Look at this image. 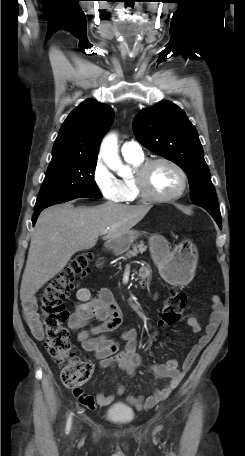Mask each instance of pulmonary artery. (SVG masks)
Returning <instances> with one entry per match:
<instances>
[{
  "label": "pulmonary artery",
  "mask_w": 245,
  "mask_h": 456,
  "mask_svg": "<svg viewBox=\"0 0 245 456\" xmlns=\"http://www.w3.org/2000/svg\"><path fill=\"white\" fill-rule=\"evenodd\" d=\"M123 156H134L138 157L143 155L141 146L134 141H127L121 147Z\"/></svg>",
  "instance_id": "e3ab8cb5"
}]
</instances>
